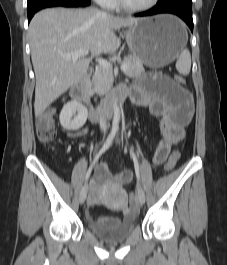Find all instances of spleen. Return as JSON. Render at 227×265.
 <instances>
[{"label": "spleen", "instance_id": "1", "mask_svg": "<svg viewBox=\"0 0 227 265\" xmlns=\"http://www.w3.org/2000/svg\"><path fill=\"white\" fill-rule=\"evenodd\" d=\"M176 69L182 75H188L190 73L191 55L187 48L182 49L176 62Z\"/></svg>", "mask_w": 227, "mask_h": 265}]
</instances>
